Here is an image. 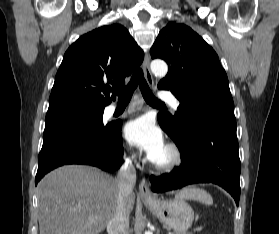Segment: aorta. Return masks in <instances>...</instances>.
Listing matches in <instances>:
<instances>
[{
	"mask_svg": "<svg viewBox=\"0 0 279 234\" xmlns=\"http://www.w3.org/2000/svg\"><path fill=\"white\" fill-rule=\"evenodd\" d=\"M150 68H151L152 73L156 77H160V78L165 77V75L167 74V71H168L167 64L163 60H160V59L153 60L151 62Z\"/></svg>",
	"mask_w": 279,
	"mask_h": 234,
	"instance_id": "762f6f07",
	"label": "aorta"
}]
</instances>
